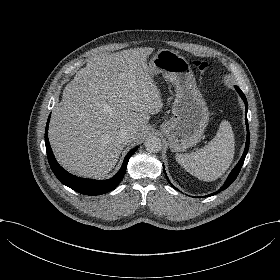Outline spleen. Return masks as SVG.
I'll list each match as a JSON object with an SVG mask.
<instances>
[{
    "label": "spleen",
    "instance_id": "3e777b00",
    "mask_svg": "<svg viewBox=\"0 0 280 280\" xmlns=\"http://www.w3.org/2000/svg\"><path fill=\"white\" fill-rule=\"evenodd\" d=\"M235 135L228 120H223L215 138L199 152L176 155V160L197 178L212 182L230 167L235 155Z\"/></svg>",
    "mask_w": 280,
    "mask_h": 280
}]
</instances>
